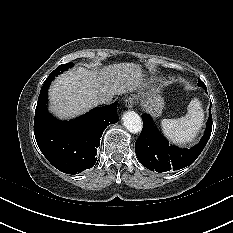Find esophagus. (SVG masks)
<instances>
[{
    "label": "esophagus",
    "instance_id": "1",
    "mask_svg": "<svg viewBox=\"0 0 233 233\" xmlns=\"http://www.w3.org/2000/svg\"><path fill=\"white\" fill-rule=\"evenodd\" d=\"M133 105H134V100H133V98L129 97V98H127V99L125 100V106H126L127 108H132Z\"/></svg>",
    "mask_w": 233,
    "mask_h": 233
}]
</instances>
